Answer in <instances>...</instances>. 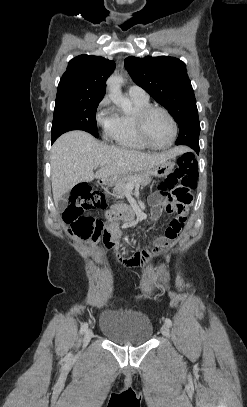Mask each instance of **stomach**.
<instances>
[{
  "label": "stomach",
  "mask_w": 247,
  "mask_h": 407,
  "mask_svg": "<svg viewBox=\"0 0 247 407\" xmlns=\"http://www.w3.org/2000/svg\"><path fill=\"white\" fill-rule=\"evenodd\" d=\"M176 162L174 160H167L154 168L147 170L145 172L148 175L157 176V177H166L168 176L174 169ZM125 176V175H124ZM124 176H111L104 179V183L107 186H115Z\"/></svg>",
  "instance_id": "0dacf381"
}]
</instances>
